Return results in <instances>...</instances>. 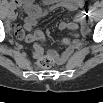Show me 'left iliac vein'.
I'll return each instance as SVG.
<instances>
[{
	"mask_svg": "<svg viewBox=\"0 0 103 103\" xmlns=\"http://www.w3.org/2000/svg\"><path fill=\"white\" fill-rule=\"evenodd\" d=\"M89 22H92V18L89 19Z\"/></svg>",
	"mask_w": 103,
	"mask_h": 103,
	"instance_id": "4c4485c4",
	"label": "left iliac vein"
}]
</instances>
